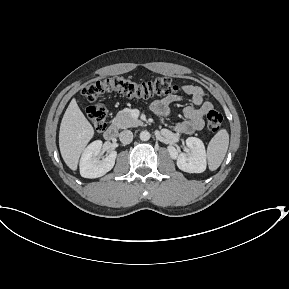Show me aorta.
Here are the masks:
<instances>
[{
    "label": "aorta",
    "instance_id": "aorta-1",
    "mask_svg": "<svg viewBox=\"0 0 289 289\" xmlns=\"http://www.w3.org/2000/svg\"><path fill=\"white\" fill-rule=\"evenodd\" d=\"M150 137H151V135H150V133L148 132V131H142L141 133H140V139L142 140V141H148L149 139H150Z\"/></svg>",
    "mask_w": 289,
    "mask_h": 289
}]
</instances>
